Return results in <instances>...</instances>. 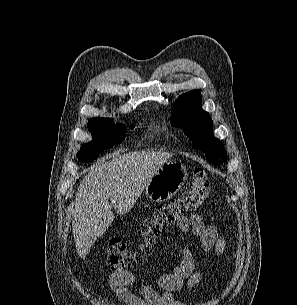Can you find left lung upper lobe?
Returning <instances> with one entry per match:
<instances>
[{
	"mask_svg": "<svg viewBox=\"0 0 297 305\" xmlns=\"http://www.w3.org/2000/svg\"><path fill=\"white\" fill-rule=\"evenodd\" d=\"M171 124L181 127L206 159L217 165L227 159L223 143L212 135V119L201 107V95L193 90L181 95L173 105Z\"/></svg>",
	"mask_w": 297,
	"mask_h": 305,
	"instance_id": "obj_1",
	"label": "left lung upper lobe"
}]
</instances>
